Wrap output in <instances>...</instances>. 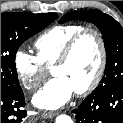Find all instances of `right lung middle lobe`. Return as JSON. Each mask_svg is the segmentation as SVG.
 I'll return each mask as SVG.
<instances>
[{"label":"right lung middle lobe","mask_w":123,"mask_h":123,"mask_svg":"<svg viewBox=\"0 0 123 123\" xmlns=\"http://www.w3.org/2000/svg\"><path fill=\"white\" fill-rule=\"evenodd\" d=\"M55 13H3L1 14V90L21 89L15 55L19 46L47 27L56 18Z\"/></svg>","instance_id":"dd1d6c3e"}]
</instances>
